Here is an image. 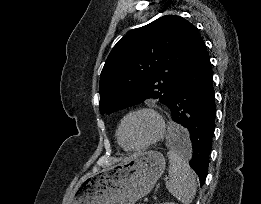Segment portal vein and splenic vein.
<instances>
[{
	"mask_svg": "<svg viewBox=\"0 0 261 204\" xmlns=\"http://www.w3.org/2000/svg\"><path fill=\"white\" fill-rule=\"evenodd\" d=\"M147 200H148V198H145L143 203H141V204H147Z\"/></svg>",
	"mask_w": 261,
	"mask_h": 204,
	"instance_id": "obj_1",
	"label": "portal vein and splenic vein"
}]
</instances>
